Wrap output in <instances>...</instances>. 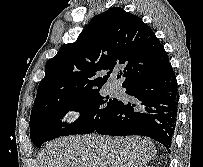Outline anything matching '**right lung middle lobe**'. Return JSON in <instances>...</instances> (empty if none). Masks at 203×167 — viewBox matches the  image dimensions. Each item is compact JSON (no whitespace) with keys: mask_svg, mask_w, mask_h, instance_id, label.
Returning <instances> with one entry per match:
<instances>
[{"mask_svg":"<svg viewBox=\"0 0 203 167\" xmlns=\"http://www.w3.org/2000/svg\"><path fill=\"white\" fill-rule=\"evenodd\" d=\"M119 103L116 98L102 97L99 91L51 100L32 110L29 122L31 140L41 147L44 142L60 136L92 133ZM68 111H78L80 117L67 125L61 123V119Z\"/></svg>","mask_w":203,"mask_h":167,"instance_id":"obj_1","label":"right lung middle lobe"}]
</instances>
